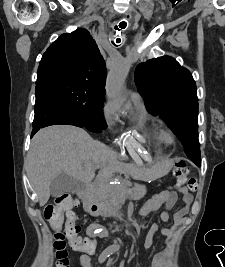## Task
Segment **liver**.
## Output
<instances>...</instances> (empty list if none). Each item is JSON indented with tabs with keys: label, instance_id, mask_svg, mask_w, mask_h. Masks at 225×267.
Listing matches in <instances>:
<instances>
[{
	"label": "liver",
	"instance_id": "6515ba94",
	"mask_svg": "<svg viewBox=\"0 0 225 267\" xmlns=\"http://www.w3.org/2000/svg\"><path fill=\"white\" fill-rule=\"evenodd\" d=\"M25 169L40 206L48 202L50 184L62 173L85 186L96 169L101 170L98 179L113 171L145 177L133 165L118 162L116 153L108 146L72 125H52L39 130L32 139Z\"/></svg>",
	"mask_w": 225,
	"mask_h": 267
}]
</instances>
